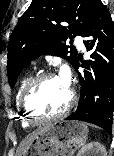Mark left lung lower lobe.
<instances>
[{"instance_id":"left-lung-lower-lobe-1","label":"left lung lower lobe","mask_w":114,"mask_h":156,"mask_svg":"<svg viewBox=\"0 0 114 156\" xmlns=\"http://www.w3.org/2000/svg\"><path fill=\"white\" fill-rule=\"evenodd\" d=\"M82 37L87 51L94 50L91 60L82 64L79 75L81 92L78 108L66 120H81L102 127L111 134L114 111V23L106 7L99 1ZM79 67V60L75 65Z\"/></svg>"}]
</instances>
